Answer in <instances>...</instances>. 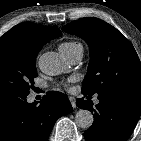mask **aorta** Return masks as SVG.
<instances>
[{
    "mask_svg": "<svg viewBox=\"0 0 141 141\" xmlns=\"http://www.w3.org/2000/svg\"><path fill=\"white\" fill-rule=\"evenodd\" d=\"M38 65L43 73L50 76L59 75L65 68L60 56L55 52L43 53L38 60ZM93 121L92 113L86 109H80L75 115V123L80 128H90Z\"/></svg>",
    "mask_w": 141,
    "mask_h": 141,
    "instance_id": "762f6f07",
    "label": "aorta"
}]
</instances>
